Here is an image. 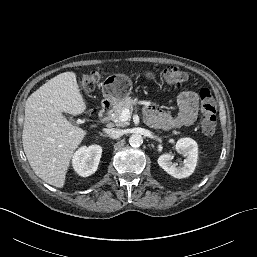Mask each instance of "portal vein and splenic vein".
I'll list each match as a JSON object with an SVG mask.
<instances>
[{"instance_id":"1","label":"portal vein and splenic vein","mask_w":257,"mask_h":257,"mask_svg":"<svg viewBox=\"0 0 257 257\" xmlns=\"http://www.w3.org/2000/svg\"><path fill=\"white\" fill-rule=\"evenodd\" d=\"M130 115H131V111L129 109H124L121 112L119 120L122 121V122H125L130 118Z\"/></svg>"}]
</instances>
